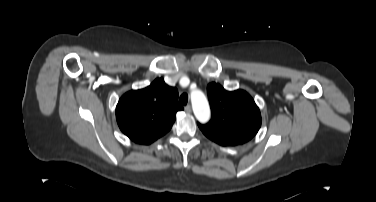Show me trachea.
<instances>
[{
	"label": "trachea",
	"mask_w": 376,
	"mask_h": 202,
	"mask_svg": "<svg viewBox=\"0 0 376 202\" xmlns=\"http://www.w3.org/2000/svg\"><path fill=\"white\" fill-rule=\"evenodd\" d=\"M179 102L181 105H186L188 102V95L186 93L182 94L179 98Z\"/></svg>",
	"instance_id": "3493384b"
}]
</instances>
